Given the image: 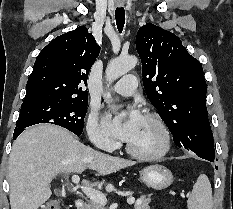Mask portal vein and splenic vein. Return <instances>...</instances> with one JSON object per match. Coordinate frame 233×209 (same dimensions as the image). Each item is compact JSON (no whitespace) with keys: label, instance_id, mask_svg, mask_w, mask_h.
Instances as JSON below:
<instances>
[{"label":"portal vein and splenic vein","instance_id":"portal-vein-and-splenic-vein-1","mask_svg":"<svg viewBox=\"0 0 233 209\" xmlns=\"http://www.w3.org/2000/svg\"><path fill=\"white\" fill-rule=\"evenodd\" d=\"M72 182L78 185L79 182H80L79 176H77V175L72 176ZM80 188L82 189L83 193L88 198H90V200H92V201H94L96 203H99V204H103V205H105L107 203L106 196L103 193H101L100 191L95 190V189H93L91 187H88V186H80ZM134 202H135L134 197H129L127 199V203L129 205H132Z\"/></svg>","mask_w":233,"mask_h":209}]
</instances>
